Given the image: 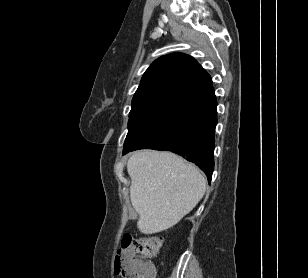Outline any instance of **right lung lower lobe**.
Returning a JSON list of instances; mask_svg holds the SVG:
<instances>
[{
    "label": "right lung lower lobe",
    "mask_w": 308,
    "mask_h": 278,
    "mask_svg": "<svg viewBox=\"0 0 308 278\" xmlns=\"http://www.w3.org/2000/svg\"><path fill=\"white\" fill-rule=\"evenodd\" d=\"M216 106L213 93L177 114L161 130L130 151L154 149L177 153L199 165L210 183L214 169Z\"/></svg>",
    "instance_id": "98d812e1"
}]
</instances>
